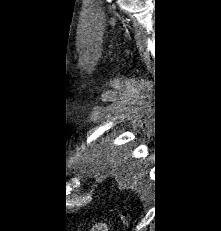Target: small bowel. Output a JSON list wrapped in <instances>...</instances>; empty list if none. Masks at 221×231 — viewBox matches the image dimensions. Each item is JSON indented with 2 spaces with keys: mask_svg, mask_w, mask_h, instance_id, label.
I'll list each match as a JSON object with an SVG mask.
<instances>
[{
  "mask_svg": "<svg viewBox=\"0 0 221 231\" xmlns=\"http://www.w3.org/2000/svg\"><path fill=\"white\" fill-rule=\"evenodd\" d=\"M91 231H107V225L105 223H98Z\"/></svg>",
  "mask_w": 221,
  "mask_h": 231,
  "instance_id": "c3829d8e",
  "label": "small bowel"
}]
</instances>
